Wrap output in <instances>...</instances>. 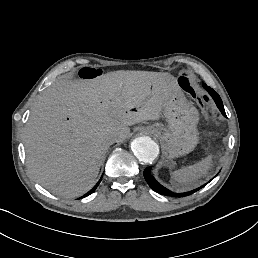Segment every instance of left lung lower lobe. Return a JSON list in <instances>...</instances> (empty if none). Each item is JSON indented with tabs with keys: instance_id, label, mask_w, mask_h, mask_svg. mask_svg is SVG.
Masks as SVG:
<instances>
[{
	"instance_id": "1",
	"label": "left lung lower lobe",
	"mask_w": 258,
	"mask_h": 258,
	"mask_svg": "<svg viewBox=\"0 0 258 258\" xmlns=\"http://www.w3.org/2000/svg\"><path fill=\"white\" fill-rule=\"evenodd\" d=\"M203 87L208 91V93L212 96V98L214 99L217 107L219 108V110L221 111V113L226 117V114H225V110H224V107H223V103H222V100L220 98V96L212 89L210 88L209 86H207L206 84H203ZM144 177H145V180L147 181V183L149 184V186L154 190L156 191L157 193L159 194H162V195H167V196H172V197H183V196H187V195H190V194H193L194 192L198 191L199 189H201L202 187H204L205 185L195 189V190H192V191H189V192H185V193H174L168 189H166L165 187H163L161 184H159L155 178L151 175V167H147L145 170H144Z\"/></svg>"
}]
</instances>
